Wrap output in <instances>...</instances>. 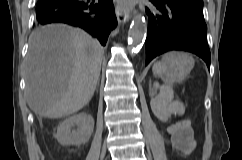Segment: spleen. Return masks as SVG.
I'll return each instance as SVG.
<instances>
[{"mask_svg": "<svg viewBox=\"0 0 242 160\" xmlns=\"http://www.w3.org/2000/svg\"><path fill=\"white\" fill-rule=\"evenodd\" d=\"M173 57V53H168L164 55L161 61H157L153 65V73L157 75H161L167 69V61ZM174 80H167V83L163 86H159L158 83L154 84V87L160 88V94L156 98L159 102L164 103L167 105L168 110L171 113H176L177 107L175 105L176 102H173V89L171 83Z\"/></svg>", "mask_w": 242, "mask_h": 160, "instance_id": "spleen-1", "label": "spleen"}]
</instances>
